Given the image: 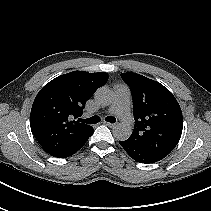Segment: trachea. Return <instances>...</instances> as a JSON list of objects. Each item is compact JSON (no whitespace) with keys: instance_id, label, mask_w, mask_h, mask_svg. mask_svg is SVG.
<instances>
[{"instance_id":"3493384b","label":"trachea","mask_w":211,"mask_h":211,"mask_svg":"<svg viewBox=\"0 0 211 211\" xmlns=\"http://www.w3.org/2000/svg\"><path fill=\"white\" fill-rule=\"evenodd\" d=\"M100 121V117L99 116H92L90 118L87 119H81V122L87 123V124H96ZM105 121L110 122V123H115L116 119L112 116H108L105 118Z\"/></svg>"}]
</instances>
